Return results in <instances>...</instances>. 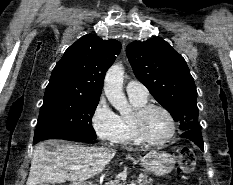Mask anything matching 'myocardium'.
I'll list each match as a JSON object with an SVG mask.
<instances>
[{"label": "myocardium", "instance_id": "1", "mask_svg": "<svg viewBox=\"0 0 233 185\" xmlns=\"http://www.w3.org/2000/svg\"><path fill=\"white\" fill-rule=\"evenodd\" d=\"M153 109H158L162 111L163 113H165L171 124L170 133L165 138L160 139V140L151 139L147 135V132L145 129V118L147 114ZM133 124L135 128V132L138 138L141 140V142H144L149 145L164 144L170 141L175 136V133H176V121L172 113L166 107L159 105V104H155V103H146L145 105L136 109L133 113Z\"/></svg>", "mask_w": 233, "mask_h": 185}]
</instances>
